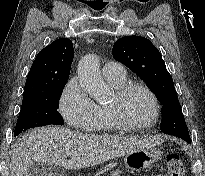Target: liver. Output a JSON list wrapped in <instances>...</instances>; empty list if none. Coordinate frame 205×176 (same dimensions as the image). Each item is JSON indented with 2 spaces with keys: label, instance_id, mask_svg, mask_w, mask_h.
I'll return each instance as SVG.
<instances>
[{
  "label": "liver",
  "instance_id": "6515ba94",
  "mask_svg": "<svg viewBox=\"0 0 205 176\" xmlns=\"http://www.w3.org/2000/svg\"><path fill=\"white\" fill-rule=\"evenodd\" d=\"M160 138L137 139L80 133L64 127H43L20 137L12 151L9 176H28L35 163L81 169L159 145ZM66 152H73L70 160Z\"/></svg>",
  "mask_w": 205,
  "mask_h": 176
}]
</instances>
